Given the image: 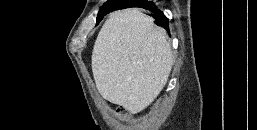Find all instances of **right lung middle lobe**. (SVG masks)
<instances>
[{
    "mask_svg": "<svg viewBox=\"0 0 257 130\" xmlns=\"http://www.w3.org/2000/svg\"><path fill=\"white\" fill-rule=\"evenodd\" d=\"M126 0H108L103 7L100 9L97 16V23L103 18L105 14L110 11L118 10L119 8L125 6Z\"/></svg>",
    "mask_w": 257,
    "mask_h": 130,
    "instance_id": "right-lung-middle-lobe-1",
    "label": "right lung middle lobe"
}]
</instances>
